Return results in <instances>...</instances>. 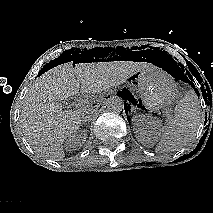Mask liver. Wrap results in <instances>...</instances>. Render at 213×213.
<instances>
[{
	"instance_id": "1",
	"label": "liver",
	"mask_w": 213,
	"mask_h": 213,
	"mask_svg": "<svg viewBox=\"0 0 213 213\" xmlns=\"http://www.w3.org/2000/svg\"><path fill=\"white\" fill-rule=\"evenodd\" d=\"M145 69L153 70L155 66L133 61L75 65L67 62L46 71L35 80L23 100L20 124L28 143L42 157L62 161L65 157L62 144L79 129L84 107L63 111L59 102L80 90L100 93Z\"/></svg>"
}]
</instances>
